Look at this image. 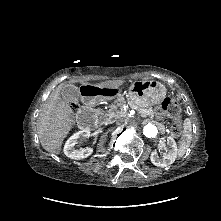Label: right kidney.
I'll return each mask as SVG.
<instances>
[{
	"label": "right kidney",
	"instance_id": "1",
	"mask_svg": "<svg viewBox=\"0 0 221 221\" xmlns=\"http://www.w3.org/2000/svg\"><path fill=\"white\" fill-rule=\"evenodd\" d=\"M90 137L89 130L78 131L73 134L65 143L64 154L71 159H83L90 156L93 152V149L86 147L76 149L75 145L82 141L84 138Z\"/></svg>",
	"mask_w": 221,
	"mask_h": 221
}]
</instances>
